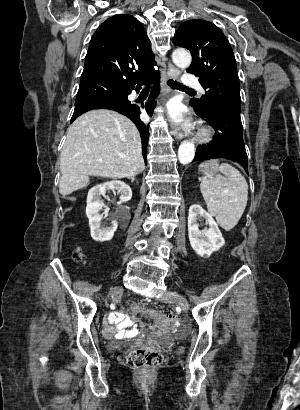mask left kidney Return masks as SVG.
I'll return each mask as SVG.
<instances>
[{"label": "left kidney", "instance_id": "1", "mask_svg": "<svg viewBox=\"0 0 300 410\" xmlns=\"http://www.w3.org/2000/svg\"><path fill=\"white\" fill-rule=\"evenodd\" d=\"M201 217L209 225V228L203 231L199 230L197 224V220ZM188 236L191 247L201 257H210L213 252L218 251L225 244L217 223L199 204H194L189 208Z\"/></svg>", "mask_w": 300, "mask_h": 410}]
</instances>
